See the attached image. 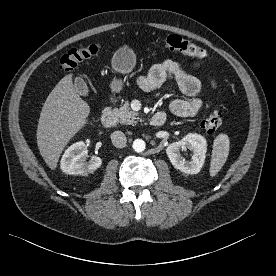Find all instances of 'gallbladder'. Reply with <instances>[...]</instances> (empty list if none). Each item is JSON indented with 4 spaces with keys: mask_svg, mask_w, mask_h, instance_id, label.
Returning <instances> with one entry per match:
<instances>
[{
    "mask_svg": "<svg viewBox=\"0 0 276 276\" xmlns=\"http://www.w3.org/2000/svg\"><path fill=\"white\" fill-rule=\"evenodd\" d=\"M74 86L81 96L88 95L89 88L83 78L76 77L74 81Z\"/></svg>",
    "mask_w": 276,
    "mask_h": 276,
    "instance_id": "1",
    "label": "gallbladder"
}]
</instances>
